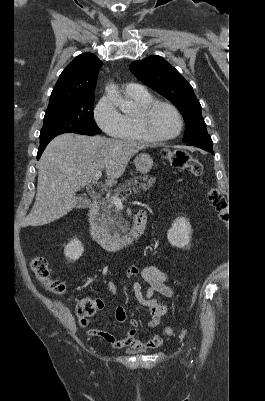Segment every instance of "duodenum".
<instances>
[{
    "instance_id": "obj_1",
    "label": "duodenum",
    "mask_w": 265,
    "mask_h": 401,
    "mask_svg": "<svg viewBox=\"0 0 265 401\" xmlns=\"http://www.w3.org/2000/svg\"><path fill=\"white\" fill-rule=\"evenodd\" d=\"M98 210V201H93L87 211L86 219L92 239L104 249L119 251L133 245L142 237L147 223V214L144 210L135 215L132 227L121 237L112 236L99 226L97 223Z\"/></svg>"
}]
</instances>
